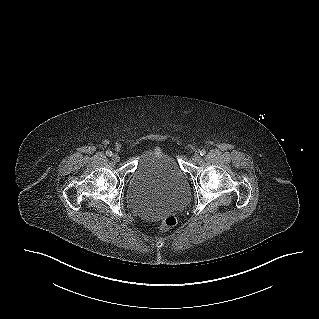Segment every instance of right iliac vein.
Wrapping results in <instances>:
<instances>
[{"instance_id":"right-iliac-vein-1","label":"right iliac vein","mask_w":319,"mask_h":319,"mask_svg":"<svg viewBox=\"0 0 319 319\" xmlns=\"http://www.w3.org/2000/svg\"><path fill=\"white\" fill-rule=\"evenodd\" d=\"M112 160H113L114 162H119V161H120V156H119L118 154H113V155H112Z\"/></svg>"}]
</instances>
